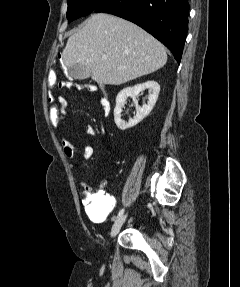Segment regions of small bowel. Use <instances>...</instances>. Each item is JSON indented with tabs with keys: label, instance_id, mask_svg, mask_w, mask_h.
<instances>
[{
	"label": "small bowel",
	"instance_id": "1",
	"mask_svg": "<svg viewBox=\"0 0 240 287\" xmlns=\"http://www.w3.org/2000/svg\"><path fill=\"white\" fill-rule=\"evenodd\" d=\"M89 91L94 92L95 87L89 86ZM100 105L104 115L107 116L111 109L108 100L100 98ZM85 131L89 136H96V131L89 125L86 126ZM61 145L65 156L69 159H73L77 152L76 146L66 137L61 139ZM93 152L94 150L92 146L85 145L81 155L83 159L88 160L93 156ZM71 167H73V164H71ZM84 202L86 215L95 223L103 222L113 211L116 205L115 197L103 192L101 188H98L94 192H86Z\"/></svg>",
	"mask_w": 240,
	"mask_h": 287
}]
</instances>
